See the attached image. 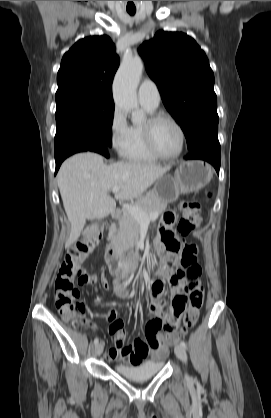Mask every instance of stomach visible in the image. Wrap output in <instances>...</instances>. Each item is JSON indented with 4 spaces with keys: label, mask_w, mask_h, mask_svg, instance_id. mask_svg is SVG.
<instances>
[{
    "label": "stomach",
    "mask_w": 271,
    "mask_h": 418,
    "mask_svg": "<svg viewBox=\"0 0 271 418\" xmlns=\"http://www.w3.org/2000/svg\"><path fill=\"white\" fill-rule=\"evenodd\" d=\"M213 177L212 167L200 160L182 162L174 176L159 178L152 189L164 203L174 202L180 194L191 193L205 187Z\"/></svg>",
    "instance_id": "1"
}]
</instances>
